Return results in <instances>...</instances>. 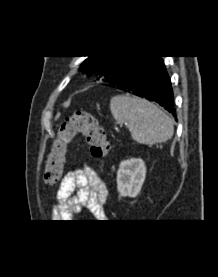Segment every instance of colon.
I'll list each match as a JSON object with an SVG mask.
<instances>
[{
  "mask_svg": "<svg viewBox=\"0 0 218 277\" xmlns=\"http://www.w3.org/2000/svg\"><path fill=\"white\" fill-rule=\"evenodd\" d=\"M78 135L85 139L93 157L103 159L109 155L110 143L96 117L86 111L75 112L58 127L44 170L46 183L54 184L61 178L67 146Z\"/></svg>",
  "mask_w": 218,
  "mask_h": 277,
  "instance_id": "5ec220e1",
  "label": "colon"
}]
</instances>
